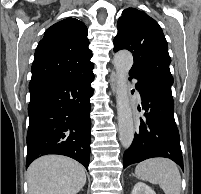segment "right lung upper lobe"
<instances>
[{
  "label": "right lung upper lobe",
  "mask_w": 201,
  "mask_h": 194,
  "mask_svg": "<svg viewBox=\"0 0 201 194\" xmlns=\"http://www.w3.org/2000/svg\"><path fill=\"white\" fill-rule=\"evenodd\" d=\"M87 35L85 24L72 17L49 27L36 48L31 81L69 79L91 71L94 65Z\"/></svg>",
  "instance_id": "1"
}]
</instances>
